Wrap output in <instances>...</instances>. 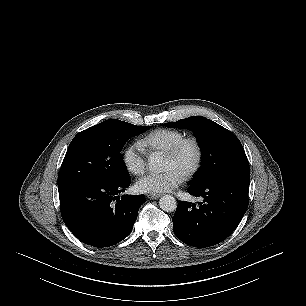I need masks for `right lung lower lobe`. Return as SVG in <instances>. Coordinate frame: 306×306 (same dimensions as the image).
Returning <instances> with one entry per match:
<instances>
[{"label": "right lung lower lobe", "instance_id": "right-lung-lower-lobe-1", "mask_svg": "<svg viewBox=\"0 0 306 306\" xmlns=\"http://www.w3.org/2000/svg\"><path fill=\"white\" fill-rule=\"evenodd\" d=\"M130 177L119 182L92 179L59 190L61 215L80 241L94 247H109L132 231L144 195H122Z\"/></svg>", "mask_w": 306, "mask_h": 306}]
</instances>
